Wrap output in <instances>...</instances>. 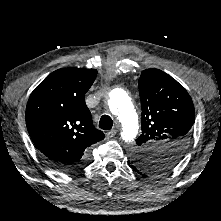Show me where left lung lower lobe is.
<instances>
[{"label": "left lung lower lobe", "mask_w": 221, "mask_h": 221, "mask_svg": "<svg viewBox=\"0 0 221 221\" xmlns=\"http://www.w3.org/2000/svg\"><path fill=\"white\" fill-rule=\"evenodd\" d=\"M131 167H132V169H133L134 171H136L137 173L141 174L142 176H145V173H144V170H143V169H141V168H139V167H137V166H134V165H131Z\"/></svg>", "instance_id": "left-lung-lower-lobe-1"}]
</instances>
